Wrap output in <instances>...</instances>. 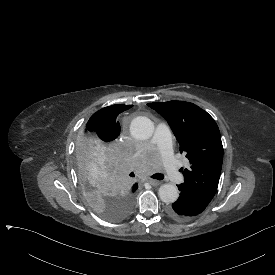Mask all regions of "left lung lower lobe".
Listing matches in <instances>:
<instances>
[{
	"label": "left lung lower lobe",
	"instance_id": "obj_1",
	"mask_svg": "<svg viewBox=\"0 0 275 275\" xmlns=\"http://www.w3.org/2000/svg\"><path fill=\"white\" fill-rule=\"evenodd\" d=\"M181 191L179 199L167 208V214L175 221L183 222L202 213L209 202V199L196 190L178 185Z\"/></svg>",
	"mask_w": 275,
	"mask_h": 275
}]
</instances>
